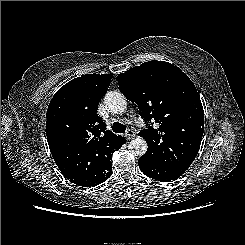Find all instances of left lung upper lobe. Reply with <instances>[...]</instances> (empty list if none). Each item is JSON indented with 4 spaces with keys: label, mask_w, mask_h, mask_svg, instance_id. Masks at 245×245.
Here are the masks:
<instances>
[{
    "label": "left lung upper lobe",
    "mask_w": 245,
    "mask_h": 245,
    "mask_svg": "<svg viewBox=\"0 0 245 245\" xmlns=\"http://www.w3.org/2000/svg\"><path fill=\"white\" fill-rule=\"evenodd\" d=\"M120 91L139 106L148 126L139 136L148 148L142 159L171 169L186 171L200 148L204 111L190 78L178 67L148 61L116 77Z\"/></svg>",
    "instance_id": "1"
}]
</instances>
